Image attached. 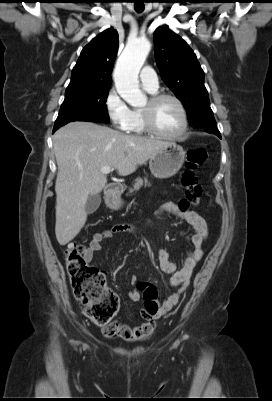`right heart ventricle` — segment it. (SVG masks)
<instances>
[{
	"instance_id": "obj_1",
	"label": "right heart ventricle",
	"mask_w": 272,
	"mask_h": 401,
	"mask_svg": "<svg viewBox=\"0 0 272 401\" xmlns=\"http://www.w3.org/2000/svg\"><path fill=\"white\" fill-rule=\"evenodd\" d=\"M151 93H155V92H151ZM126 132L132 133V134H137V135H142V134L147 133V130L145 129L144 124H143L141 109L135 108L132 110L131 120L128 125V128L126 129Z\"/></svg>"
}]
</instances>
